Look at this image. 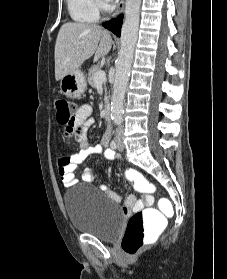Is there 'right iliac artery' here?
Listing matches in <instances>:
<instances>
[{
    "label": "right iliac artery",
    "mask_w": 227,
    "mask_h": 279,
    "mask_svg": "<svg viewBox=\"0 0 227 279\" xmlns=\"http://www.w3.org/2000/svg\"><path fill=\"white\" fill-rule=\"evenodd\" d=\"M110 146H111L112 149H116L117 146H118L117 140H115V139L112 140L111 143H110Z\"/></svg>",
    "instance_id": "82829eb1"
}]
</instances>
